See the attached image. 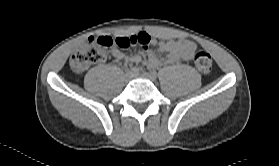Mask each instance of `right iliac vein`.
I'll use <instances>...</instances> for the list:
<instances>
[{"instance_id": "right-iliac-vein-1", "label": "right iliac vein", "mask_w": 279, "mask_h": 166, "mask_svg": "<svg viewBox=\"0 0 279 166\" xmlns=\"http://www.w3.org/2000/svg\"><path fill=\"white\" fill-rule=\"evenodd\" d=\"M133 76H134V74L129 70L125 73L124 79H125L126 82H128L132 79Z\"/></svg>"}]
</instances>
